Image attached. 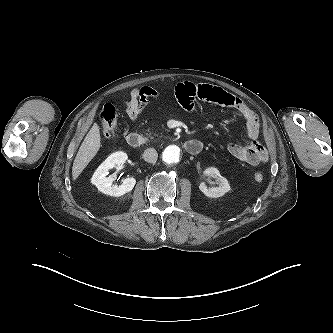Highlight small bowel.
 I'll return each instance as SVG.
<instances>
[{
  "mask_svg": "<svg viewBox=\"0 0 333 333\" xmlns=\"http://www.w3.org/2000/svg\"><path fill=\"white\" fill-rule=\"evenodd\" d=\"M175 95L187 110H192L197 100L235 109L245 121L249 141L243 145L229 144L228 152L236 159L251 166L268 160L267 150L257 141L260 129L258 116L244 101L220 87L189 81L178 84L175 88ZM158 97V91L148 86L131 90L125 101V111L129 119L137 120L148 106L149 100Z\"/></svg>",
  "mask_w": 333,
  "mask_h": 333,
  "instance_id": "1",
  "label": "small bowel"
}]
</instances>
